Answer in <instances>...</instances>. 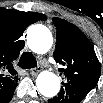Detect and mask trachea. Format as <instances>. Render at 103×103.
Masks as SVG:
<instances>
[{
    "mask_svg": "<svg viewBox=\"0 0 103 103\" xmlns=\"http://www.w3.org/2000/svg\"><path fill=\"white\" fill-rule=\"evenodd\" d=\"M18 65L21 68L29 69V68L36 67L37 66V62H36V59H35V57L33 56V54L31 52H24L21 55V58L19 60Z\"/></svg>",
    "mask_w": 103,
    "mask_h": 103,
    "instance_id": "3493384b",
    "label": "trachea"
}]
</instances>
